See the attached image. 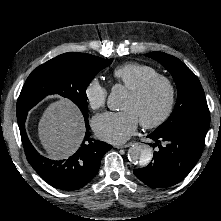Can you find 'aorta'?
<instances>
[{"label": "aorta", "mask_w": 221, "mask_h": 221, "mask_svg": "<svg viewBox=\"0 0 221 221\" xmlns=\"http://www.w3.org/2000/svg\"><path fill=\"white\" fill-rule=\"evenodd\" d=\"M126 91L122 86L112 89L108 96L107 105L110 110H118L124 100ZM153 158L152 149L144 144H134L128 149L129 161L137 166H147Z\"/></svg>", "instance_id": "1"}]
</instances>
